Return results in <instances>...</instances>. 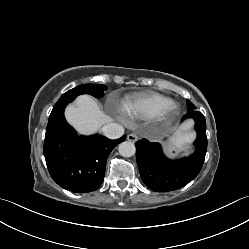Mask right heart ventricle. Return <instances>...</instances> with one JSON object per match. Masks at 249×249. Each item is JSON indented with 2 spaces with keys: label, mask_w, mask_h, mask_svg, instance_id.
I'll return each mask as SVG.
<instances>
[{
  "label": "right heart ventricle",
  "mask_w": 249,
  "mask_h": 249,
  "mask_svg": "<svg viewBox=\"0 0 249 249\" xmlns=\"http://www.w3.org/2000/svg\"><path fill=\"white\" fill-rule=\"evenodd\" d=\"M173 100L155 92L140 93L128 99L121 110L128 116L139 118H155Z\"/></svg>",
  "instance_id": "right-heart-ventricle-1"
}]
</instances>
